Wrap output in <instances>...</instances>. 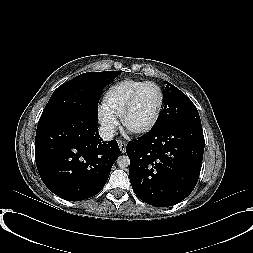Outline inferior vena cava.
I'll use <instances>...</instances> for the list:
<instances>
[{
	"label": "inferior vena cava",
	"mask_w": 253,
	"mask_h": 253,
	"mask_svg": "<svg viewBox=\"0 0 253 253\" xmlns=\"http://www.w3.org/2000/svg\"><path fill=\"white\" fill-rule=\"evenodd\" d=\"M99 135L104 141H110L116 135V129L114 126H101L99 128Z\"/></svg>",
	"instance_id": "1"
}]
</instances>
